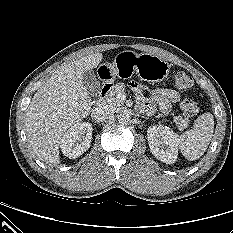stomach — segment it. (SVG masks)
<instances>
[{
	"label": "stomach",
	"mask_w": 233,
	"mask_h": 233,
	"mask_svg": "<svg viewBox=\"0 0 233 233\" xmlns=\"http://www.w3.org/2000/svg\"><path fill=\"white\" fill-rule=\"evenodd\" d=\"M115 74L127 70L129 74L136 73L143 81L159 82L168 77L171 65L159 56L133 51H122L112 64L106 65Z\"/></svg>",
	"instance_id": "obj_1"
}]
</instances>
